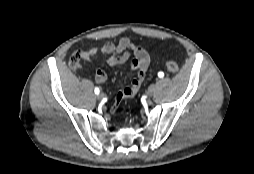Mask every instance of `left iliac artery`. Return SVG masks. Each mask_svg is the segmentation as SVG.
Returning <instances> with one entry per match:
<instances>
[{
	"mask_svg": "<svg viewBox=\"0 0 254 174\" xmlns=\"http://www.w3.org/2000/svg\"><path fill=\"white\" fill-rule=\"evenodd\" d=\"M158 76H159V78H163L164 77V73L163 72H159Z\"/></svg>",
	"mask_w": 254,
	"mask_h": 174,
	"instance_id": "44dca946",
	"label": "left iliac artery"
}]
</instances>
